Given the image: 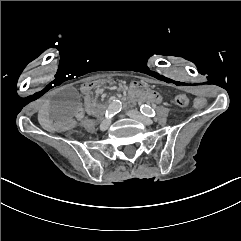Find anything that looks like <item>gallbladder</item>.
<instances>
[{"mask_svg":"<svg viewBox=\"0 0 241 241\" xmlns=\"http://www.w3.org/2000/svg\"><path fill=\"white\" fill-rule=\"evenodd\" d=\"M80 94L75 86H65L48 101V110L58 119H70L80 109Z\"/></svg>","mask_w":241,"mask_h":241,"instance_id":"gallbladder-1","label":"gallbladder"}]
</instances>
